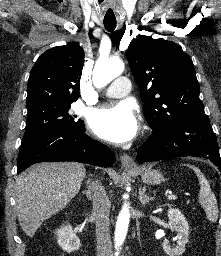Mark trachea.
Returning a JSON list of instances; mask_svg holds the SVG:
<instances>
[{
	"mask_svg": "<svg viewBox=\"0 0 221 256\" xmlns=\"http://www.w3.org/2000/svg\"><path fill=\"white\" fill-rule=\"evenodd\" d=\"M104 27L107 31L112 32L116 28V21L104 22Z\"/></svg>",
	"mask_w": 221,
	"mask_h": 256,
	"instance_id": "obj_1",
	"label": "trachea"
}]
</instances>
